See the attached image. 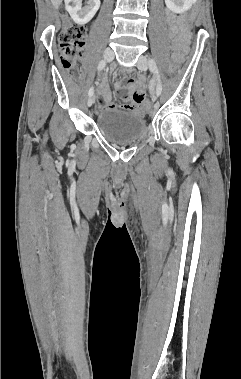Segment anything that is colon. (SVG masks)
<instances>
[{
	"label": "colon",
	"instance_id": "obj_1",
	"mask_svg": "<svg viewBox=\"0 0 241 379\" xmlns=\"http://www.w3.org/2000/svg\"><path fill=\"white\" fill-rule=\"evenodd\" d=\"M196 17L197 11L193 8L188 12L187 24L193 25ZM86 32L87 28L85 25L67 23L58 37L59 63L64 69L68 70L72 76L77 74L81 53L85 47ZM180 69L181 66L177 61H169V68L166 69V74L170 78H173L176 76V73L173 71H179ZM143 104L151 105L152 99L144 98Z\"/></svg>",
	"mask_w": 241,
	"mask_h": 379
}]
</instances>
